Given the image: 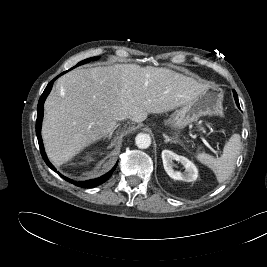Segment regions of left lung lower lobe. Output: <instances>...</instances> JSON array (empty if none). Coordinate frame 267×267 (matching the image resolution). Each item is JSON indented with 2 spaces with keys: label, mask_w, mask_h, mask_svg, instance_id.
I'll use <instances>...</instances> for the list:
<instances>
[{
  "label": "left lung lower lobe",
  "mask_w": 267,
  "mask_h": 267,
  "mask_svg": "<svg viewBox=\"0 0 267 267\" xmlns=\"http://www.w3.org/2000/svg\"><path fill=\"white\" fill-rule=\"evenodd\" d=\"M233 95H234V98H235V101H236V104L238 105V107L240 108V105H239V101H238V97H237V93L235 90H233Z\"/></svg>",
  "instance_id": "0a47b994"
}]
</instances>
